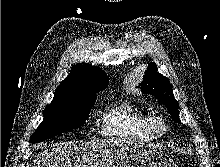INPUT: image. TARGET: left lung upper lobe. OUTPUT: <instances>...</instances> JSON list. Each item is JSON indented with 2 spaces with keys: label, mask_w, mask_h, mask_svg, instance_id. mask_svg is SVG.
Listing matches in <instances>:
<instances>
[{
  "label": "left lung upper lobe",
  "mask_w": 220,
  "mask_h": 167,
  "mask_svg": "<svg viewBox=\"0 0 220 167\" xmlns=\"http://www.w3.org/2000/svg\"><path fill=\"white\" fill-rule=\"evenodd\" d=\"M138 88H140L144 94H152L155 96L167 107L172 119L177 123H181L178 117L179 103L174 98L172 85L168 78L157 72V66L155 63L148 64L144 79L139 84Z\"/></svg>",
  "instance_id": "1"
}]
</instances>
